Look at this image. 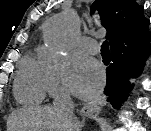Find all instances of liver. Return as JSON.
Returning a JSON list of instances; mask_svg holds the SVG:
<instances>
[{
	"label": "liver",
	"mask_w": 151,
	"mask_h": 131,
	"mask_svg": "<svg viewBox=\"0 0 151 131\" xmlns=\"http://www.w3.org/2000/svg\"><path fill=\"white\" fill-rule=\"evenodd\" d=\"M7 131H79V128L73 116L71 119L65 112L50 105L12 113Z\"/></svg>",
	"instance_id": "1"
}]
</instances>
